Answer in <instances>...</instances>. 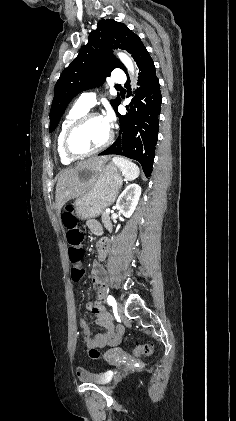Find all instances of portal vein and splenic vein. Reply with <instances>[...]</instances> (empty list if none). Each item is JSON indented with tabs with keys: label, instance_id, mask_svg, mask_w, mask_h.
Here are the masks:
<instances>
[{
	"label": "portal vein and splenic vein",
	"instance_id": "obj_1",
	"mask_svg": "<svg viewBox=\"0 0 236 421\" xmlns=\"http://www.w3.org/2000/svg\"><path fill=\"white\" fill-rule=\"evenodd\" d=\"M106 213H109V208H106Z\"/></svg>",
	"mask_w": 236,
	"mask_h": 421
}]
</instances>
